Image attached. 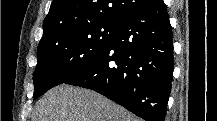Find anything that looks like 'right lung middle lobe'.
<instances>
[{"instance_id":"dd1d6c3e","label":"right lung middle lobe","mask_w":217,"mask_h":121,"mask_svg":"<svg viewBox=\"0 0 217 121\" xmlns=\"http://www.w3.org/2000/svg\"><path fill=\"white\" fill-rule=\"evenodd\" d=\"M119 24L102 22L85 25L38 47L33 97L43 95L92 64L106 49Z\"/></svg>"}]
</instances>
